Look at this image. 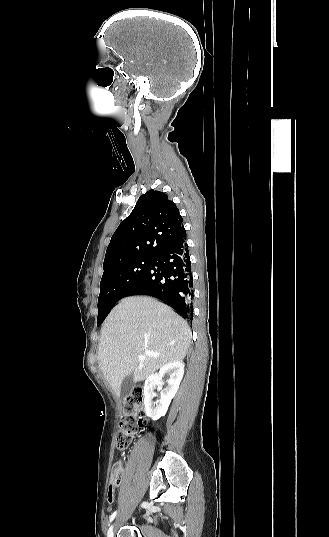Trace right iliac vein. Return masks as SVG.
<instances>
[{
    "mask_svg": "<svg viewBox=\"0 0 329 537\" xmlns=\"http://www.w3.org/2000/svg\"><path fill=\"white\" fill-rule=\"evenodd\" d=\"M107 535H108V537H113V535H114V525L110 526Z\"/></svg>",
    "mask_w": 329,
    "mask_h": 537,
    "instance_id": "1",
    "label": "right iliac vein"
}]
</instances>
